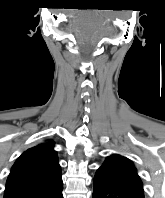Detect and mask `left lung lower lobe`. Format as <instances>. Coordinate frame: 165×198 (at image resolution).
Here are the masks:
<instances>
[{
  "label": "left lung lower lobe",
  "mask_w": 165,
  "mask_h": 198,
  "mask_svg": "<svg viewBox=\"0 0 165 198\" xmlns=\"http://www.w3.org/2000/svg\"><path fill=\"white\" fill-rule=\"evenodd\" d=\"M92 198H144V194L130 189L98 171L93 180Z\"/></svg>",
  "instance_id": "1"
}]
</instances>
